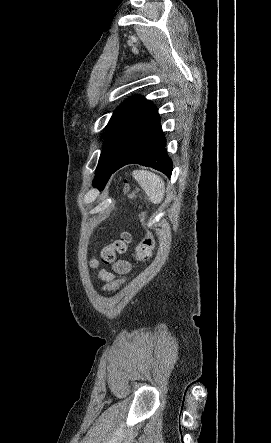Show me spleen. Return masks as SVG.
<instances>
[{"label": "spleen", "instance_id": "spleen-1", "mask_svg": "<svg viewBox=\"0 0 271 443\" xmlns=\"http://www.w3.org/2000/svg\"><path fill=\"white\" fill-rule=\"evenodd\" d=\"M133 178H135L142 190L146 192L150 202L161 204L165 194V186L159 176L152 174V172H147V170H134Z\"/></svg>", "mask_w": 271, "mask_h": 443}]
</instances>
